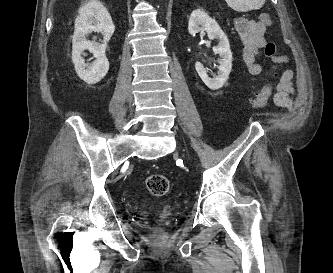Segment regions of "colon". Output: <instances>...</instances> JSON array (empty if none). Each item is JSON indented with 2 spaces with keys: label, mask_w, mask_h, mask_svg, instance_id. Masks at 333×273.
Listing matches in <instances>:
<instances>
[{
  "label": "colon",
  "mask_w": 333,
  "mask_h": 273,
  "mask_svg": "<svg viewBox=\"0 0 333 273\" xmlns=\"http://www.w3.org/2000/svg\"><path fill=\"white\" fill-rule=\"evenodd\" d=\"M261 21L270 26L272 18L269 14L263 13L260 16ZM276 54V46L272 41H267L264 47V55L267 58H273ZM273 92V85L271 82L264 84L249 101V105L254 109L263 108ZM169 180L162 174H152L146 180V187L148 191L154 196H163L169 190Z\"/></svg>",
  "instance_id": "colon-1"
}]
</instances>
